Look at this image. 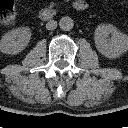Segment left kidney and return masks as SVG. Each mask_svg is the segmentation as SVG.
Returning <instances> with one entry per match:
<instances>
[{"label": "left kidney", "instance_id": "5707ae66", "mask_svg": "<svg viewBox=\"0 0 128 128\" xmlns=\"http://www.w3.org/2000/svg\"><path fill=\"white\" fill-rule=\"evenodd\" d=\"M95 46L107 58H117L128 50V36L111 24H100L94 34Z\"/></svg>", "mask_w": 128, "mask_h": 128}]
</instances>
